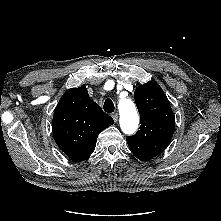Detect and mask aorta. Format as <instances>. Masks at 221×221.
<instances>
[{"instance_id":"762f6f07","label":"aorta","mask_w":221,"mask_h":221,"mask_svg":"<svg viewBox=\"0 0 221 221\" xmlns=\"http://www.w3.org/2000/svg\"><path fill=\"white\" fill-rule=\"evenodd\" d=\"M120 127L125 134H133L139 125V115L130 98H121L118 103Z\"/></svg>"}]
</instances>
